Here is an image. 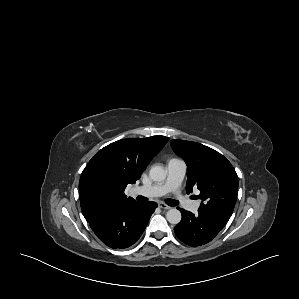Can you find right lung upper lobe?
I'll return each instance as SVG.
<instances>
[{
	"label": "right lung upper lobe",
	"instance_id": "cb5924a9",
	"mask_svg": "<svg viewBox=\"0 0 299 299\" xmlns=\"http://www.w3.org/2000/svg\"><path fill=\"white\" fill-rule=\"evenodd\" d=\"M168 140L164 136L123 139L99 150L80 177L82 213L104 211L134 201L124 194L126 186L140 178L151 159Z\"/></svg>",
	"mask_w": 299,
	"mask_h": 299
}]
</instances>
